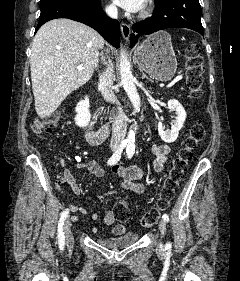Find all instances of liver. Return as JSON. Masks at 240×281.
<instances>
[{"label":"liver","mask_w":240,"mask_h":281,"mask_svg":"<svg viewBox=\"0 0 240 281\" xmlns=\"http://www.w3.org/2000/svg\"><path fill=\"white\" fill-rule=\"evenodd\" d=\"M104 44L95 30L70 19L51 20L38 30L30 70L40 118L50 116L72 91L91 79ZM79 65L83 70L77 69Z\"/></svg>","instance_id":"obj_1"}]
</instances>
